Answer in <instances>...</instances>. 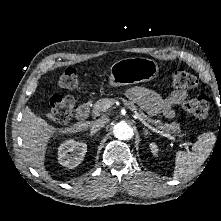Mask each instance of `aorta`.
<instances>
[{
  "label": "aorta",
  "mask_w": 221,
  "mask_h": 221,
  "mask_svg": "<svg viewBox=\"0 0 221 221\" xmlns=\"http://www.w3.org/2000/svg\"><path fill=\"white\" fill-rule=\"evenodd\" d=\"M113 134L119 140H130L133 135V129L125 122H119L113 127Z\"/></svg>",
  "instance_id": "obj_1"
}]
</instances>
